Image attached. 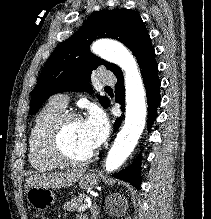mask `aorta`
<instances>
[{
  "mask_svg": "<svg viewBox=\"0 0 211 219\" xmlns=\"http://www.w3.org/2000/svg\"><path fill=\"white\" fill-rule=\"evenodd\" d=\"M92 52L117 64L125 72V123L108 152L105 167L108 172L119 168L135 148L146 123L145 89L133 55L120 43L100 40Z\"/></svg>",
  "mask_w": 211,
  "mask_h": 219,
  "instance_id": "aorta-1",
  "label": "aorta"
}]
</instances>
